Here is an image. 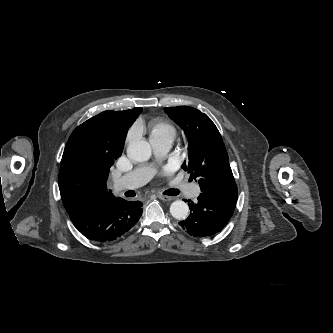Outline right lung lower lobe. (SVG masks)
<instances>
[{"label":"right lung lower lobe","instance_id":"1","mask_svg":"<svg viewBox=\"0 0 333 333\" xmlns=\"http://www.w3.org/2000/svg\"><path fill=\"white\" fill-rule=\"evenodd\" d=\"M142 206L140 201L115 198L69 216L77 230L86 238L104 243L127 233L141 217Z\"/></svg>","mask_w":333,"mask_h":333}]
</instances>
